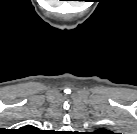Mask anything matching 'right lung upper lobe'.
Here are the masks:
<instances>
[{
  "label": "right lung upper lobe",
  "mask_w": 137,
  "mask_h": 134,
  "mask_svg": "<svg viewBox=\"0 0 137 134\" xmlns=\"http://www.w3.org/2000/svg\"><path fill=\"white\" fill-rule=\"evenodd\" d=\"M35 127H33V126H31V125H27L26 127H24L23 129H21V130H23V131H35Z\"/></svg>",
  "instance_id": "obj_1"
}]
</instances>
